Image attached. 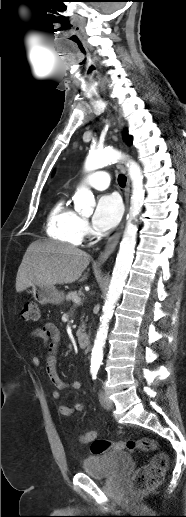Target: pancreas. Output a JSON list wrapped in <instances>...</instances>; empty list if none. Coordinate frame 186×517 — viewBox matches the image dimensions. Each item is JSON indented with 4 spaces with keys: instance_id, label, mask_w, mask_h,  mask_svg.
I'll list each match as a JSON object with an SVG mask.
<instances>
[{
    "instance_id": "1",
    "label": "pancreas",
    "mask_w": 186,
    "mask_h": 517,
    "mask_svg": "<svg viewBox=\"0 0 186 517\" xmlns=\"http://www.w3.org/2000/svg\"><path fill=\"white\" fill-rule=\"evenodd\" d=\"M74 298H80V294L77 293L76 291H70L67 295H66V300L67 301H73ZM82 327L85 328V324L82 323Z\"/></svg>"
}]
</instances>
